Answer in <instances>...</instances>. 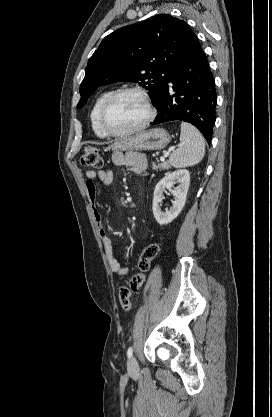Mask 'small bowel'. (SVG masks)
<instances>
[{
  "instance_id": "obj_1",
  "label": "small bowel",
  "mask_w": 272,
  "mask_h": 417,
  "mask_svg": "<svg viewBox=\"0 0 272 417\" xmlns=\"http://www.w3.org/2000/svg\"><path fill=\"white\" fill-rule=\"evenodd\" d=\"M112 162L115 166L124 167L130 171L138 174L145 175L147 173V159L144 154L138 152H115L112 155ZM114 170H88L86 172L87 181L85 183L86 192L93 208V214L95 221L98 225L99 233L102 239L105 254L107 256L108 265L112 272L119 276H125L128 273V268L123 266L114 255L113 241L108 235L104 225L103 218L99 212L96 200H97V187L95 180L99 179L102 183L109 185L114 179Z\"/></svg>"
}]
</instances>
